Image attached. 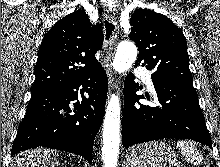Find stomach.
Listing matches in <instances>:
<instances>
[{
  "instance_id": "stomach-1",
  "label": "stomach",
  "mask_w": 220,
  "mask_h": 167,
  "mask_svg": "<svg viewBox=\"0 0 220 167\" xmlns=\"http://www.w3.org/2000/svg\"><path fill=\"white\" fill-rule=\"evenodd\" d=\"M126 160L130 167H176L175 151L164 142H149L129 149Z\"/></svg>"
}]
</instances>
